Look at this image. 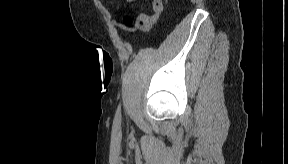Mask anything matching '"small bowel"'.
<instances>
[{"instance_id": "1", "label": "small bowel", "mask_w": 288, "mask_h": 164, "mask_svg": "<svg viewBox=\"0 0 288 164\" xmlns=\"http://www.w3.org/2000/svg\"><path fill=\"white\" fill-rule=\"evenodd\" d=\"M163 10V5L161 2L158 1H154L153 3V12L151 14H146L143 13V16H149L150 17V24L146 27H144V29H148L151 27L152 24H154L156 22V20L158 19V16L160 15V13Z\"/></svg>"}]
</instances>
